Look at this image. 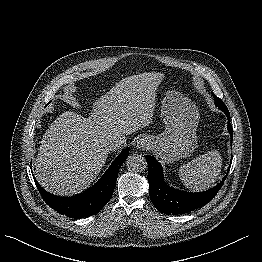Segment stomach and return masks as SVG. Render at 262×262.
Listing matches in <instances>:
<instances>
[{
    "label": "stomach",
    "mask_w": 262,
    "mask_h": 262,
    "mask_svg": "<svg viewBox=\"0 0 262 262\" xmlns=\"http://www.w3.org/2000/svg\"><path fill=\"white\" fill-rule=\"evenodd\" d=\"M165 130L153 138L156 153L166 163L188 157L197 147L199 110L181 93L171 90L161 102Z\"/></svg>",
    "instance_id": "1"
}]
</instances>
